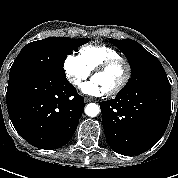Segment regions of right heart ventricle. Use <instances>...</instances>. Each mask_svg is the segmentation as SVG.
Instances as JSON below:
<instances>
[{
  "label": "right heart ventricle",
  "mask_w": 178,
  "mask_h": 178,
  "mask_svg": "<svg viewBox=\"0 0 178 178\" xmlns=\"http://www.w3.org/2000/svg\"><path fill=\"white\" fill-rule=\"evenodd\" d=\"M78 57L88 71L92 72L106 60L120 57V53L114 48L103 44L87 45L79 50Z\"/></svg>",
  "instance_id": "e07e8e85"
}]
</instances>
